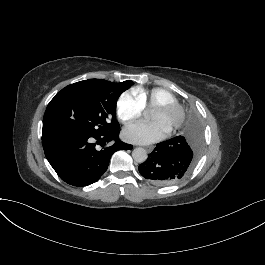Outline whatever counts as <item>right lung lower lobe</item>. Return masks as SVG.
<instances>
[{"label": "right lung lower lobe", "mask_w": 265, "mask_h": 265, "mask_svg": "<svg viewBox=\"0 0 265 265\" xmlns=\"http://www.w3.org/2000/svg\"><path fill=\"white\" fill-rule=\"evenodd\" d=\"M118 136L119 129L96 136L62 135L43 141V148L50 165L63 181L77 187L87 186L105 173L114 152L133 148ZM109 142L114 144L96 150V144L104 146Z\"/></svg>", "instance_id": "1"}]
</instances>
